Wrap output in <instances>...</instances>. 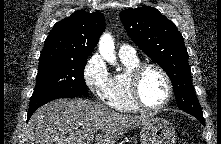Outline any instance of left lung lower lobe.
Wrapping results in <instances>:
<instances>
[{
	"instance_id": "1",
	"label": "left lung lower lobe",
	"mask_w": 221,
	"mask_h": 144,
	"mask_svg": "<svg viewBox=\"0 0 221 144\" xmlns=\"http://www.w3.org/2000/svg\"><path fill=\"white\" fill-rule=\"evenodd\" d=\"M190 114V113H189ZM194 117H196L203 125H205V120L203 118V115H198V114H191Z\"/></svg>"
}]
</instances>
